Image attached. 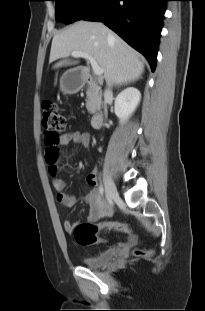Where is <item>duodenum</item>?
<instances>
[{"instance_id":"obj_1","label":"duodenum","mask_w":205,"mask_h":311,"mask_svg":"<svg viewBox=\"0 0 205 311\" xmlns=\"http://www.w3.org/2000/svg\"><path fill=\"white\" fill-rule=\"evenodd\" d=\"M77 75L80 77L82 84L86 83L91 84L97 81V79L89 73L86 67L79 68L77 71ZM104 116L105 114L102 111H97L96 113H94L93 116L91 117L92 126L94 127L99 126L100 123L103 121Z\"/></svg>"}]
</instances>
